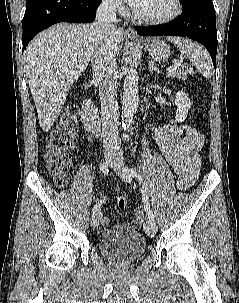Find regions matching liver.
Listing matches in <instances>:
<instances>
[{
  "label": "liver",
  "instance_id": "liver-1",
  "mask_svg": "<svg viewBox=\"0 0 239 303\" xmlns=\"http://www.w3.org/2000/svg\"><path fill=\"white\" fill-rule=\"evenodd\" d=\"M99 40L93 24H56L39 33L24 51V68L39 124L48 132L60 115L73 83L87 68ZM123 33L115 28L110 47L116 54Z\"/></svg>",
  "mask_w": 239,
  "mask_h": 303
}]
</instances>
